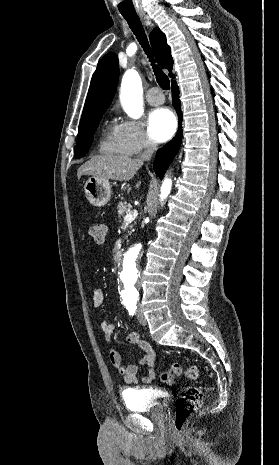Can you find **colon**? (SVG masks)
Listing matches in <instances>:
<instances>
[{
  "label": "colon",
  "mask_w": 279,
  "mask_h": 465,
  "mask_svg": "<svg viewBox=\"0 0 279 465\" xmlns=\"http://www.w3.org/2000/svg\"><path fill=\"white\" fill-rule=\"evenodd\" d=\"M89 234L95 242L102 243L106 237L105 224L92 223L89 227ZM176 376H184L195 382L198 379V368L195 365L184 368L179 363H173L168 371L160 374V379L166 385H173ZM202 399V390L196 383L184 388L175 405L173 426L177 432L183 431L188 418L201 406Z\"/></svg>",
  "instance_id": "1"
}]
</instances>
